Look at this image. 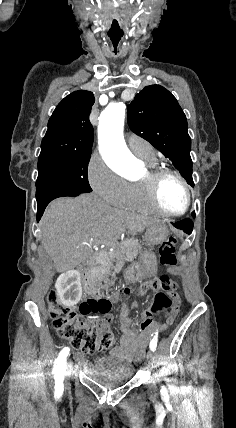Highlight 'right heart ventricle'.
<instances>
[{
	"label": "right heart ventricle",
	"mask_w": 236,
	"mask_h": 428,
	"mask_svg": "<svg viewBox=\"0 0 236 428\" xmlns=\"http://www.w3.org/2000/svg\"><path fill=\"white\" fill-rule=\"evenodd\" d=\"M140 159L143 160L149 166L151 171L158 169V164L155 158ZM122 208L132 211H139L142 213L151 214L159 217L164 216L163 214L158 212L150 203L146 195L145 187L142 180L129 184L128 195L124 201Z\"/></svg>",
	"instance_id": "obj_1"
}]
</instances>
